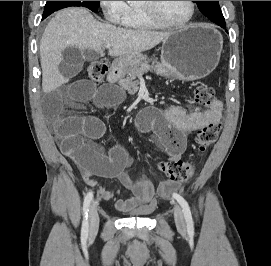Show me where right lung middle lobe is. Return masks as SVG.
<instances>
[{
    "mask_svg": "<svg viewBox=\"0 0 271 266\" xmlns=\"http://www.w3.org/2000/svg\"><path fill=\"white\" fill-rule=\"evenodd\" d=\"M70 6H82L92 10L93 12H97L100 6V1H47L43 12V19L54 11Z\"/></svg>",
    "mask_w": 271,
    "mask_h": 266,
    "instance_id": "1",
    "label": "right lung middle lobe"
}]
</instances>
